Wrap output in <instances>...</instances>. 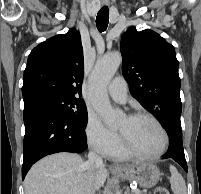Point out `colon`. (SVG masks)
I'll list each match as a JSON object with an SVG mask.
<instances>
[{"instance_id":"5ec220e1","label":"colon","mask_w":201,"mask_h":194,"mask_svg":"<svg viewBox=\"0 0 201 194\" xmlns=\"http://www.w3.org/2000/svg\"><path fill=\"white\" fill-rule=\"evenodd\" d=\"M155 194H170V193L165 187H158L155 190Z\"/></svg>"}]
</instances>
